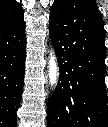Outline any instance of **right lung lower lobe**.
Returning <instances> with one entry per match:
<instances>
[{"mask_svg":"<svg viewBox=\"0 0 108 127\" xmlns=\"http://www.w3.org/2000/svg\"><path fill=\"white\" fill-rule=\"evenodd\" d=\"M24 19L0 26V126L15 127L25 71Z\"/></svg>","mask_w":108,"mask_h":127,"instance_id":"1","label":"right lung lower lobe"}]
</instances>
